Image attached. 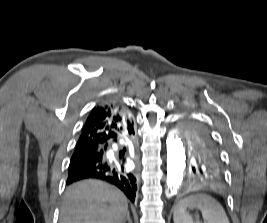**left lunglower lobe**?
I'll list each match as a JSON object with an SVG mask.
<instances>
[{
	"mask_svg": "<svg viewBox=\"0 0 267 223\" xmlns=\"http://www.w3.org/2000/svg\"><path fill=\"white\" fill-rule=\"evenodd\" d=\"M225 175V171H186V176H194L190 177V189H224L227 186Z\"/></svg>",
	"mask_w": 267,
	"mask_h": 223,
	"instance_id": "obj_1",
	"label": "left lung lower lobe"
}]
</instances>
